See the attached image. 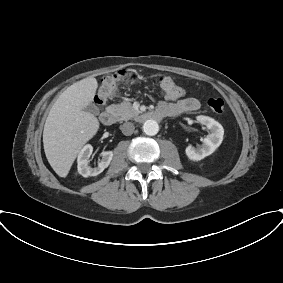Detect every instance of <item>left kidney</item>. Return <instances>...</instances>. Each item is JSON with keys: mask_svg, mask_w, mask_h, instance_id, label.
<instances>
[{"mask_svg": "<svg viewBox=\"0 0 283 283\" xmlns=\"http://www.w3.org/2000/svg\"><path fill=\"white\" fill-rule=\"evenodd\" d=\"M197 121L205 125L209 130V135L204 138L203 144L199 148L188 146L185 150L187 157L193 161H200L211 155L221 145L223 141L224 129L214 119L207 116H198Z\"/></svg>", "mask_w": 283, "mask_h": 283, "instance_id": "obj_1", "label": "left kidney"}]
</instances>
